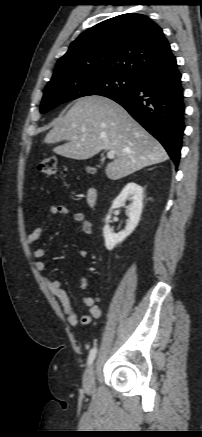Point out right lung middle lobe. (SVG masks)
<instances>
[{
  "mask_svg": "<svg viewBox=\"0 0 202 437\" xmlns=\"http://www.w3.org/2000/svg\"><path fill=\"white\" fill-rule=\"evenodd\" d=\"M136 78L121 73L98 75H65L51 80L45 87L41 113L59 104L88 95L110 97L130 90Z\"/></svg>",
  "mask_w": 202,
  "mask_h": 437,
  "instance_id": "dd1d6c3e",
  "label": "right lung middle lobe"
}]
</instances>
